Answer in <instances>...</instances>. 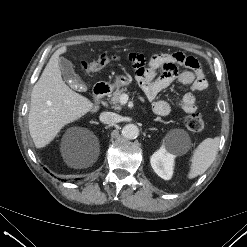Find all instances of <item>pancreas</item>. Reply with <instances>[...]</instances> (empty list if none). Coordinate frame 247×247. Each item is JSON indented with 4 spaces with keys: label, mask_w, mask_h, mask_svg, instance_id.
Returning <instances> with one entry per match:
<instances>
[{
    "label": "pancreas",
    "mask_w": 247,
    "mask_h": 247,
    "mask_svg": "<svg viewBox=\"0 0 247 247\" xmlns=\"http://www.w3.org/2000/svg\"><path fill=\"white\" fill-rule=\"evenodd\" d=\"M127 89H117L115 92H113L109 98V103L111 105H113V108L116 110H120L121 109V105H120V97L123 94H126Z\"/></svg>",
    "instance_id": "pancreas-1"
}]
</instances>
